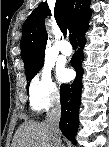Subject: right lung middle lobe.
<instances>
[{
  "mask_svg": "<svg viewBox=\"0 0 109 147\" xmlns=\"http://www.w3.org/2000/svg\"><path fill=\"white\" fill-rule=\"evenodd\" d=\"M42 65H43V60L38 65L25 69V75L27 78V89H28L31 79L39 72Z\"/></svg>",
  "mask_w": 109,
  "mask_h": 147,
  "instance_id": "dd1d6c3e",
  "label": "right lung middle lobe"
}]
</instances>
